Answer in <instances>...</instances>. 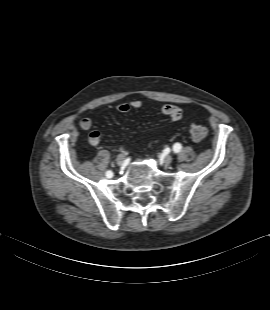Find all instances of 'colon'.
Returning a JSON list of instances; mask_svg holds the SVG:
<instances>
[{
  "instance_id": "1",
  "label": "colon",
  "mask_w": 270,
  "mask_h": 310,
  "mask_svg": "<svg viewBox=\"0 0 270 310\" xmlns=\"http://www.w3.org/2000/svg\"><path fill=\"white\" fill-rule=\"evenodd\" d=\"M189 132L192 139L196 142L204 140L208 133L206 126L197 123L190 125Z\"/></svg>"
}]
</instances>
